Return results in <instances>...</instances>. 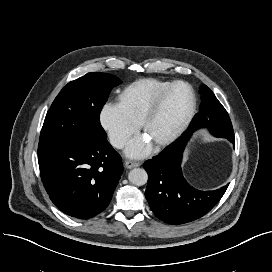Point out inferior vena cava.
I'll return each mask as SVG.
<instances>
[{
	"instance_id": "inferior-vena-cava-1",
	"label": "inferior vena cava",
	"mask_w": 272,
	"mask_h": 272,
	"mask_svg": "<svg viewBox=\"0 0 272 272\" xmlns=\"http://www.w3.org/2000/svg\"><path fill=\"white\" fill-rule=\"evenodd\" d=\"M111 144L116 148H123L126 142V138L122 136H113L110 138Z\"/></svg>"
}]
</instances>
